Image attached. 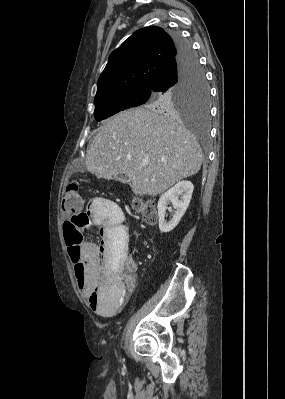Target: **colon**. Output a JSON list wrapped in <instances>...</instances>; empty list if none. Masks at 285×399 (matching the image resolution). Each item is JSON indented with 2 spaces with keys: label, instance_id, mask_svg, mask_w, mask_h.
Returning a JSON list of instances; mask_svg holds the SVG:
<instances>
[{
  "label": "colon",
  "instance_id": "1",
  "mask_svg": "<svg viewBox=\"0 0 285 399\" xmlns=\"http://www.w3.org/2000/svg\"><path fill=\"white\" fill-rule=\"evenodd\" d=\"M82 199L79 193V186L76 183L69 184L61 200V208L67 214L66 220L62 224L65 243L68 247L72 265V275L75 286L79 288L83 279V266L77 265L80 256L81 247L79 243L84 238L82 229L89 222L87 214L82 209ZM135 210L142 213L143 219L147 223L154 222L157 218L156 208L143 200H137L133 203ZM121 239L118 244V257L123 258L127 254L126 227L122 221H119Z\"/></svg>",
  "mask_w": 285,
  "mask_h": 399
}]
</instances>
